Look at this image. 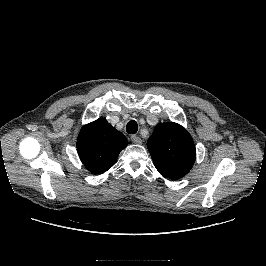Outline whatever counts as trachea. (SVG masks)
<instances>
[{"instance_id": "1", "label": "trachea", "mask_w": 266, "mask_h": 266, "mask_svg": "<svg viewBox=\"0 0 266 266\" xmlns=\"http://www.w3.org/2000/svg\"><path fill=\"white\" fill-rule=\"evenodd\" d=\"M126 131L129 134H135L138 131V125L135 120H131L128 122L126 126Z\"/></svg>"}]
</instances>
